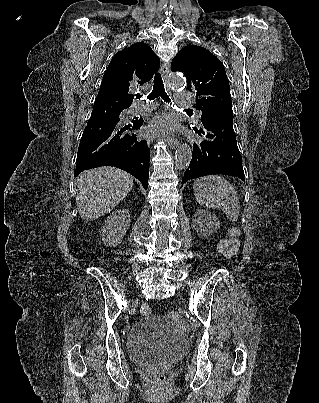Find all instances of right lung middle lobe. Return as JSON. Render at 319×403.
I'll use <instances>...</instances> for the list:
<instances>
[{
	"mask_svg": "<svg viewBox=\"0 0 319 403\" xmlns=\"http://www.w3.org/2000/svg\"><path fill=\"white\" fill-rule=\"evenodd\" d=\"M122 114V109L111 107H95L92 110L90 118H96L99 116H117Z\"/></svg>",
	"mask_w": 319,
	"mask_h": 403,
	"instance_id": "obj_1",
	"label": "right lung middle lobe"
}]
</instances>
